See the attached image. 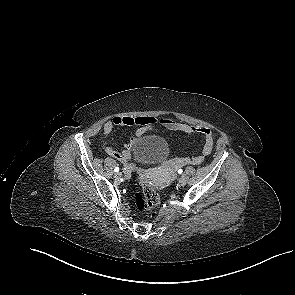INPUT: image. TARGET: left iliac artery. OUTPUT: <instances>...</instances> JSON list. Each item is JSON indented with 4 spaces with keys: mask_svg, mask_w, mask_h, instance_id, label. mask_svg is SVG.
I'll use <instances>...</instances> for the list:
<instances>
[{
    "mask_svg": "<svg viewBox=\"0 0 295 295\" xmlns=\"http://www.w3.org/2000/svg\"><path fill=\"white\" fill-rule=\"evenodd\" d=\"M182 172H183V170H182V169H179V170H178V173H179V174H181Z\"/></svg>",
    "mask_w": 295,
    "mask_h": 295,
    "instance_id": "left-iliac-artery-1",
    "label": "left iliac artery"
}]
</instances>
